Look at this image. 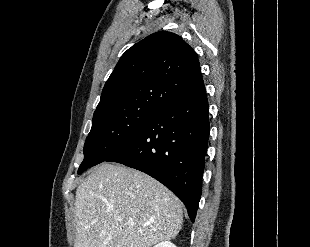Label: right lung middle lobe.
<instances>
[{
  "instance_id": "1",
  "label": "right lung middle lobe",
  "mask_w": 310,
  "mask_h": 247,
  "mask_svg": "<svg viewBox=\"0 0 310 247\" xmlns=\"http://www.w3.org/2000/svg\"><path fill=\"white\" fill-rule=\"evenodd\" d=\"M158 110L138 106L93 117L91 131L84 144V160L78 174L119 151Z\"/></svg>"
}]
</instances>
